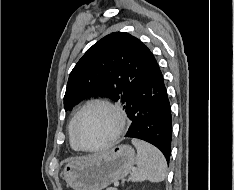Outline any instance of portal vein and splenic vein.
<instances>
[{
  "label": "portal vein and splenic vein",
  "mask_w": 234,
  "mask_h": 190,
  "mask_svg": "<svg viewBox=\"0 0 234 190\" xmlns=\"http://www.w3.org/2000/svg\"><path fill=\"white\" fill-rule=\"evenodd\" d=\"M114 185H115V186H118V185H119V183H118V182H116Z\"/></svg>",
  "instance_id": "obj_1"
}]
</instances>
